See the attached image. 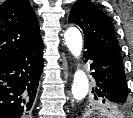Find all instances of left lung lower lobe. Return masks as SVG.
Listing matches in <instances>:
<instances>
[{
    "label": "left lung lower lobe",
    "mask_w": 133,
    "mask_h": 118,
    "mask_svg": "<svg viewBox=\"0 0 133 118\" xmlns=\"http://www.w3.org/2000/svg\"><path fill=\"white\" fill-rule=\"evenodd\" d=\"M85 58L90 60V70L95 78L96 87L92 91L99 100L113 105H122L124 110L128 103V89L123 62L109 55L93 44H85Z\"/></svg>",
    "instance_id": "1"
}]
</instances>
